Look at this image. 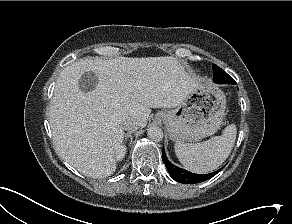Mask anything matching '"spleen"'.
I'll list each match as a JSON object with an SVG mask.
<instances>
[{
  "instance_id": "obj_1",
  "label": "spleen",
  "mask_w": 292,
  "mask_h": 224,
  "mask_svg": "<svg viewBox=\"0 0 292 224\" xmlns=\"http://www.w3.org/2000/svg\"><path fill=\"white\" fill-rule=\"evenodd\" d=\"M236 125L230 124L221 136L201 143H175V153L182 165L194 173H209L229 156L236 140Z\"/></svg>"
}]
</instances>
